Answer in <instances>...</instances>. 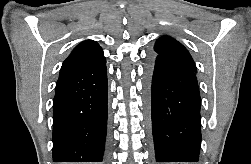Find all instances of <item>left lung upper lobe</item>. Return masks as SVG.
I'll list each match as a JSON object with an SVG mask.
<instances>
[{
  "mask_svg": "<svg viewBox=\"0 0 251 164\" xmlns=\"http://www.w3.org/2000/svg\"><path fill=\"white\" fill-rule=\"evenodd\" d=\"M153 57L177 62L191 70L197 71L195 63L188 50L174 38L164 35L154 46Z\"/></svg>",
  "mask_w": 251,
  "mask_h": 164,
  "instance_id": "5c2ea615",
  "label": "left lung upper lobe"
}]
</instances>
